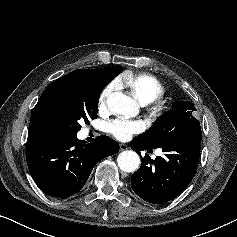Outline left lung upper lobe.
<instances>
[{"label":"left lung upper lobe","instance_id":"1","mask_svg":"<svg viewBox=\"0 0 237 237\" xmlns=\"http://www.w3.org/2000/svg\"><path fill=\"white\" fill-rule=\"evenodd\" d=\"M196 111L190 101H182L175 109L159 117L153 126L137 139L151 148H158L179 139L192 125L199 122L194 117Z\"/></svg>","mask_w":237,"mask_h":237}]
</instances>
